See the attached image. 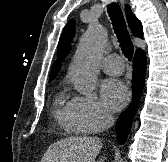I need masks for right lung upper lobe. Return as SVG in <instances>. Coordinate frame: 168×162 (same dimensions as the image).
<instances>
[{"label": "right lung upper lobe", "instance_id": "right-lung-upper-lobe-1", "mask_svg": "<svg viewBox=\"0 0 168 162\" xmlns=\"http://www.w3.org/2000/svg\"><path fill=\"white\" fill-rule=\"evenodd\" d=\"M126 18L131 32L141 38L143 36V28L141 22L136 18V16L131 12L129 6L126 7ZM74 20H70L65 26L63 33L60 37L57 49V60L53 63L49 81H52L61 68L62 60L68 55L73 35L75 33Z\"/></svg>", "mask_w": 168, "mask_h": 162}]
</instances>
